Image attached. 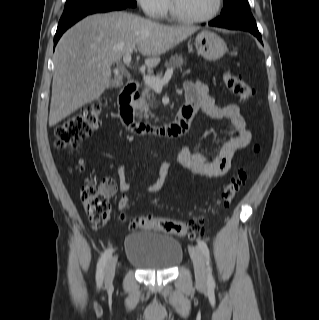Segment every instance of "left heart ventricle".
<instances>
[{
  "instance_id": "b2bd125f",
  "label": "left heart ventricle",
  "mask_w": 319,
  "mask_h": 320,
  "mask_svg": "<svg viewBox=\"0 0 319 320\" xmlns=\"http://www.w3.org/2000/svg\"><path fill=\"white\" fill-rule=\"evenodd\" d=\"M177 11L189 17H203L210 14L216 5V0H173Z\"/></svg>"
}]
</instances>
